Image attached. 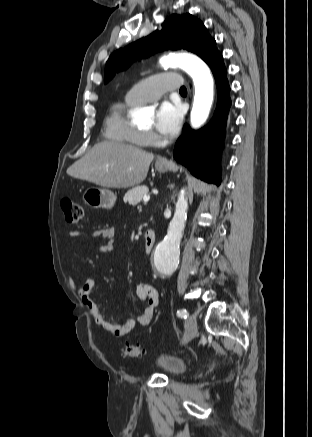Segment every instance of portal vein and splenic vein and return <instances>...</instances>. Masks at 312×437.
I'll return each mask as SVG.
<instances>
[{
  "label": "portal vein and splenic vein",
  "instance_id": "portal-vein-and-splenic-vein-1",
  "mask_svg": "<svg viewBox=\"0 0 312 437\" xmlns=\"http://www.w3.org/2000/svg\"><path fill=\"white\" fill-rule=\"evenodd\" d=\"M144 202H148L150 200V196L149 195H145L143 197Z\"/></svg>",
  "mask_w": 312,
  "mask_h": 437
}]
</instances>
